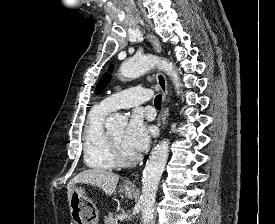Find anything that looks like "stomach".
I'll list each match as a JSON object with an SVG mask.
<instances>
[{
    "label": "stomach",
    "instance_id": "0dacf381",
    "mask_svg": "<svg viewBox=\"0 0 275 224\" xmlns=\"http://www.w3.org/2000/svg\"><path fill=\"white\" fill-rule=\"evenodd\" d=\"M121 191L128 198L135 196V190L127 185H122ZM69 208L74 224H98L99 211L81 187H73V192L69 199Z\"/></svg>",
    "mask_w": 275,
    "mask_h": 224
}]
</instances>
